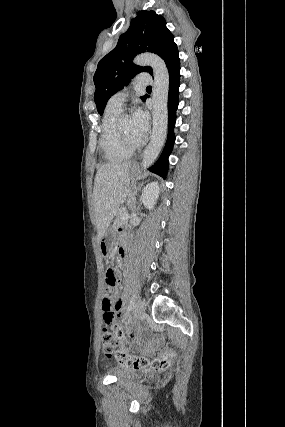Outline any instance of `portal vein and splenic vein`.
Wrapping results in <instances>:
<instances>
[{
  "mask_svg": "<svg viewBox=\"0 0 285 427\" xmlns=\"http://www.w3.org/2000/svg\"><path fill=\"white\" fill-rule=\"evenodd\" d=\"M129 218L128 213L123 214V216L121 217L122 220H127Z\"/></svg>",
  "mask_w": 285,
  "mask_h": 427,
  "instance_id": "obj_1",
  "label": "portal vein and splenic vein"
}]
</instances>
